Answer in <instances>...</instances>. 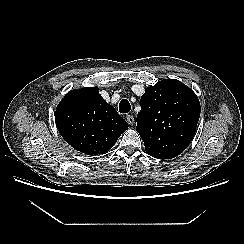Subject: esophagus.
Returning a JSON list of instances; mask_svg holds the SVG:
<instances>
[{
  "label": "esophagus",
  "instance_id": "1",
  "mask_svg": "<svg viewBox=\"0 0 244 244\" xmlns=\"http://www.w3.org/2000/svg\"><path fill=\"white\" fill-rule=\"evenodd\" d=\"M126 120L129 125H133L135 123L134 117L132 115H127Z\"/></svg>",
  "mask_w": 244,
  "mask_h": 244
}]
</instances>
